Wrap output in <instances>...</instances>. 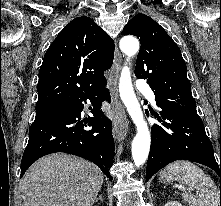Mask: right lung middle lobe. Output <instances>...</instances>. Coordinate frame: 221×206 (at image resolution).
<instances>
[{"mask_svg":"<svg viewBox=\"0 0 221 206\" xmlns=\"http://www.w3.org/2000/svg\"><path fill=\"white\" fill-rule=\"evenodd\" d=\"M63 107H65V106L36 108V116L41 115V114H45V113H49V112H53V111H56V110L61 109Z\"/></svg>","mask_w":221,"mask_h":206,"instance_id":"1","label":"right lung middle lobe"}]
</instances>
